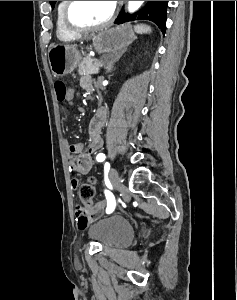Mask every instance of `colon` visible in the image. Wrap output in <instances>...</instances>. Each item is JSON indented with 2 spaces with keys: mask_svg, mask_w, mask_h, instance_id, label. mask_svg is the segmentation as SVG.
<instances>
[{
  "mask_svg": "<svg viewBox=\"0 0 237 300\" xmlns=\"http://www.w3.org/2000/svg\"><path fill=\"white\" fill-rule=\"evenodd\" d=\"M54 87L59 101L68 102L70 104L73 103V99L68 96L69 89L63 81H56ZM78 195L86 212L94 213V206L92 203L95 196V182L92 178L79 185Z\"/></svg>",
  "mask_w": 237,
  "mask_h": 300,
  "instance_id": "obj_1",
  "label": "colon"
}]
</instances>
